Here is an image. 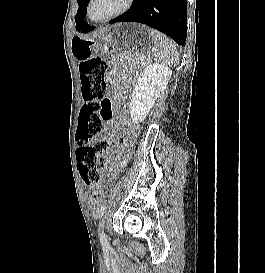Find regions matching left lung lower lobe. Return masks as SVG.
<instances>
[{
    "label": "left lung lower lobe",
    "mask_w": 265,
    "mask_h": 273,
    "mask_svg": "<svg viewBox=\"0 0 265 273\" xmlns=\"http://www.w3.org/2000/svg\"><path fill=\"white\" fill-rule=\"evenodd\" d=\"M139 22L155 28L172 38L177 44L185 45L187 29V0H134L130 10L110 21ZM85 23L80 32L93 30Z\"/></svg>",
    "instance_id": "left-lung-lower-lobe-1"
}]
</instances>
